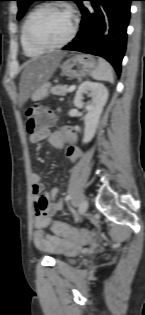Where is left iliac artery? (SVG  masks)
<instances>
[{"label": "left iliac artery", "mask_w": 145, "mask_h": 315, "mask_svg": "<svg viewBox=\"0 0 145 315\" xmlns=\"http://www.w3.org/2000/svg\"><path fill=\"white\" fill-rule=\"evenodd\" d=\"M70 199H71V195H67L66 198H65L66 201H68Z\"/></svg>", "instance_id": "obj_1"}]
</instances>
